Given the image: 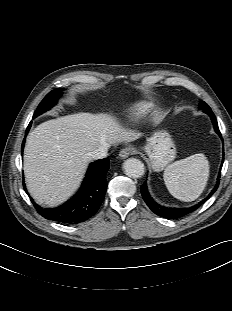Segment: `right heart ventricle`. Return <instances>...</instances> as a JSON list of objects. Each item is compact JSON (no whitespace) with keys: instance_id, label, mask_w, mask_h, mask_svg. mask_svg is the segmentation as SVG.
Listing matches in <instances>:
<instances>
[{"instance_id":"1","label":"right heart ventricle","mask_w":232,"mask_h":311,"mask_svg":"<svg viewBox=\"0 0 232 311\" xmlns=\"http://www.w3.org/2000/svg\"><path fill=\"white\" fill-rule=\"evenodd\" d=\"M148 107H149L148 104L141 103L130 108L126 113L127 121L134 122V121L139 120L140 117L146 112Z\"/></svg>"}]
</instances>
